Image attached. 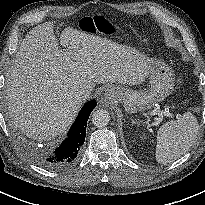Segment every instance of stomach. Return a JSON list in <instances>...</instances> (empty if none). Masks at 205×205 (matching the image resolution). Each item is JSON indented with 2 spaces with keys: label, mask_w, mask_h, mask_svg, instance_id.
Listing matches in <instances>:
<instances>
[{
  "label": "stomach",
  "mask_w": 205,
  "mask_h": 205,
  "mask_svg": "<svg viewBox=\"0 0 205 205\" xmlns=\"http://www.w3.org/2000/svg\"><path fill=\"white\" fill-rule=\"evenodd\" d=\"M94 26L90 22H84L81 30L95 35L98 33L105 34L99 29L94 20ZM94 27V31H93ZM140 55L148 63V77L150 88L144 91H135L125 87H112L109 93V99L113 103H121L128 113H137L151 109L156 103L163 101L174 89V72L161 60L149 57L145 53Z\"/></svg>",
  "instance_id": "1"
}]
</instances>
